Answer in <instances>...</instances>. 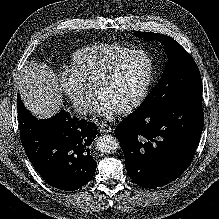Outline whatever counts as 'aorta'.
<instances>
[{
    "mask_svg": "<svg viewBox=\"0 0 219 219\" xmlns=\"http://www.w3.org/2000/svg\"><path fill=\"white\" fill-rule=\"evenodd\" d=\"M95 144L97 149L103 153H113L119 148V141L110 135L100 136Z\"/></svg>",
    "mask_w": 219,
    "mask_h": 219,
    "instance_id": "obj_1",
    "label": "aorta"
}]
</instances>
